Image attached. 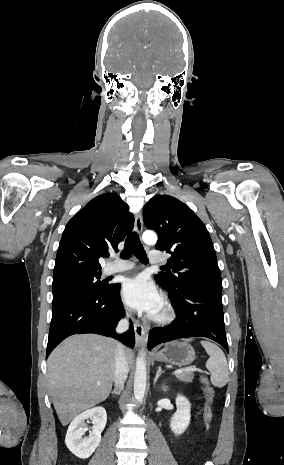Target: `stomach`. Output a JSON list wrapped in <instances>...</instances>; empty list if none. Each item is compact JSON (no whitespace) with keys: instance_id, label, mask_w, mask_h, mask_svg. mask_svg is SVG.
<instances>
[{"instance_id":"1","label":"stomach","mask_w":284,"mask_h":465,"mask_svg":"<svg viewBox=\"0 0 284 465\" xmlns=\"http://www.w3.org/2000/svg\"><path fill=\"white\" fill-rule=\"evenodd\" d=\"M155 361L169 363V365H177V367H186L191 365L195 359V351L191 345L187 343H167L162 351L154 355Z\"/></svg>"}]
</instances>
